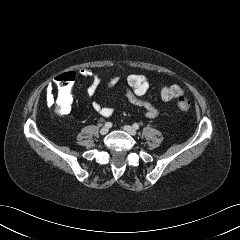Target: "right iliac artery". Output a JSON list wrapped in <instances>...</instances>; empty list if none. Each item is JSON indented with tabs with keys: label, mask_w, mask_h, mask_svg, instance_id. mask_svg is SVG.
I'll list each match as a JSON object with an SVG mask.
<instances>
[{
	"label": "right iliac artery",
	"mask_w": 240,
	"mask_h": 240,
	"mask_svg": "<svg viewBox=\"0 0 240 240\" xmlns=\"http://www.w3.org/2000/svg\"><path fill=\"white\" fill-rule=\"evenodd\" d=\"M105 127L111 128V127H112V123H111V122H107V123L105 124Z\"/></svg>",
	"instance_id": "obj_1"
}]
</instances>
